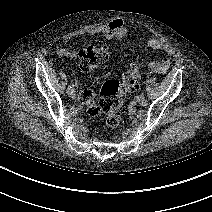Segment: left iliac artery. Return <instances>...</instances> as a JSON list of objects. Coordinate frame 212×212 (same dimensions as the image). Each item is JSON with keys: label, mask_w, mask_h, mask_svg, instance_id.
Masks as SVG:
<instances>
[{"label": "left iliac artery", "mask_w": 212, "mask_h": 212, "mask_svg": "<svg viewBox=\"0 0 212 212\" xmlns=\"http://www.w3.org/2000/svg\"><path fill=\"white\" fill-rule=\"evenodd\" d=\"M148 104H149V101L145 97H142V105L147 106Z\"/></svg>", "instance_id": "obj_1"}]
</instances>
